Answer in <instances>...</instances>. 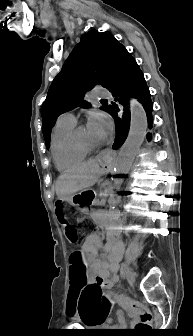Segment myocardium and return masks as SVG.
Here are the masks:
<instances>
[{
    "mask_svg": "<svg viewBox=\"0 0 193 336\" xmlns=\"http://www.w3.org/2000/svg\"><path fill=\"white\" fill-rule=\"evenodd\" d=\"M74 141L79 148L83 149L84 151H86L88 153L94 152V151L98 150L99 147H100L99 144L98 145H90V144L84 143V142L80 141L76 137V135L74 136Z\"/></svg>",
    "mask_w": 193,
    "mask_h": 336,
    "instance_id": "obj_1",
    "label": "myocardium"
}]
</instances>
